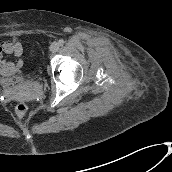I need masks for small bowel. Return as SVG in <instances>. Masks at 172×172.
<instances>
[{
  "instance_id": "obj_1",
  "label": "small bowel",
  "mask_w": 172,
  "mask_h": 172,
  "mask_svg": "<svg viewBox=\"0 0 172 172\" xmlns=\"http://www.w3.org/2000/svg\"><path fill=\"white\" fill-rule=\"evenodd\" d=\"M12 54L16 57L14 61H7L4 55ZM23 45L18 40H5L0 42V82L11 84L20 74L24 66L21 58Z\"/></svg>"
}]
</instances>
